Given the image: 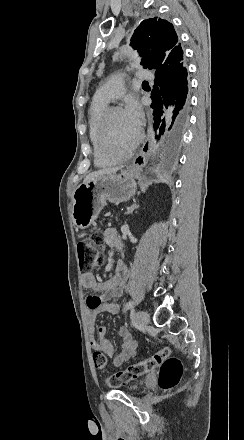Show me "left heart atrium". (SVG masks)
I'll use <instances>...</instances> for the list:
<instances>
[{"mask_svg":"<svg viewBox=\"0 0 244 440\" xmlns=\"http://www.w3.org/2000/svg\"><path fill=\"white\" fill-rule=\"evenodd\" d=\"M123 113L129 128L137 136L144 123V113L140 103L136 100L129 101Z\"/></svg>","mask_w":244,"mask_h":440,"instance_id":"obj_1","label":"left heart atrium"}]
</instances>
